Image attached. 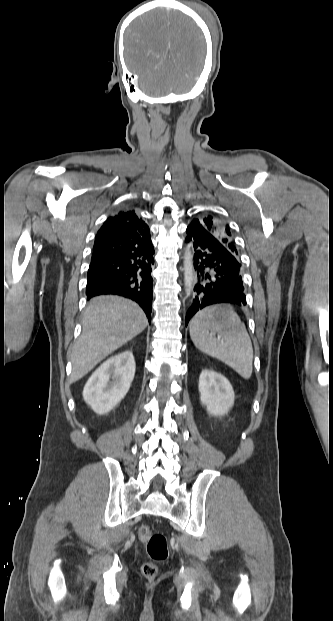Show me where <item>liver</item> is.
Returning a JSON list of instances; mask_svg holds the SVG:
<instances>
[{
  "mask_svg": "<svg viewBox=\"0 0 333 621\" xmlns=\"http://www.w3.org/2000/svg\"><path fill=\"white\" fill-rule=\"evenodd\" d=\"M148 320L134 302L116 296H98L87 306L82 334L72 348L71 381L84 377L113 351L140 334Z\"/></svg>",
  "mask_w": 333,
  "mask_h": 621,
  "instance_id": "obj_1",
  "label": "liver"
}]
</instances>
